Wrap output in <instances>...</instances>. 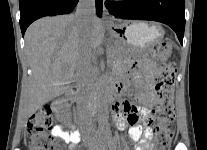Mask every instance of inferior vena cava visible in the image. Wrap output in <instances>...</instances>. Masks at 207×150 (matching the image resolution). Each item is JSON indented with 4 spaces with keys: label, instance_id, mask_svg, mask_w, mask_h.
Here are the masks:
<instances>
[{
    "label": "inferior vena cava",
    "instance_id": "1",
    "mask_svg": "<svg viewBox=\"0 0 207 150\" xmlns=\"http://www.w3.org/2000/svg\"><path fill=\"white\" fill-rule=\"evenodd\" d=\"M75 17L84 32H88L92 21L96 18L95 0H80L77 5ZM93 60V49L87 39H84L77 62V78L82 94L90 90Z\"/></svg>",
    "mask_w": 207,
    "mask_h": 150
}]
</instances>
